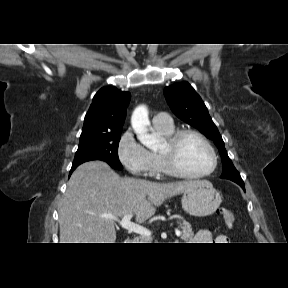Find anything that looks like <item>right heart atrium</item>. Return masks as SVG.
Masks as SVG:
<instances>
[{
    "instance_id": "1",
    "label": "right heart atrium",
    "mask_w": 288,
    "mask_h": 288,
    "mask_svg": "<svg viewBox=\"0 0 288 288\" xmlns=\"http://www.w3.org/2000/svg\"><path fill=\"white\" fill-rule=\"evenodd\" d=\"M117 155L121 164L131 174L144 177L157 175L153 168L151 152L136 140L130 130L121 135L118 141Z\"/></svg>"
}]
</instances>
